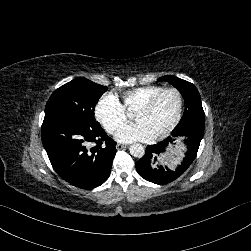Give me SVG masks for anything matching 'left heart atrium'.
<instances>
[{
  "instance_id": "obj_1",
  "label": "left heart atrium",
  "mask_w": 251,
  "mask_h": 251,
  "mask_svg": "<svg viewBox=\"0 0 251 251\" xmlns=\"http://www.w3.org/2000/svg\"><path fill=\"white\" fill-rule=\"evenodd\" d=\"M158 135V131L151 121L147 119L122 125L116 132V138L120 142L152 141Z\"/></svg>"
}]
</instances>
